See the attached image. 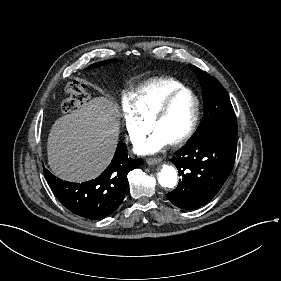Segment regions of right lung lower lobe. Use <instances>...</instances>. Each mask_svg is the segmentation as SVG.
<instances>
[{"instance_id":"obj_1","label":"right lung lower lobe","mask_w":281,"mask_h":281,"mask_svg":"<svg viewBox=\"0 0 281 281\" xmlns=\"http://www.w3.org/2000/svg\"><path fill=\"white\" fill-rule=\"evenodd\" d=\"M140 159L128 158L124 143H119L106 170L97 178L72 183L56 178L44 168L45 177L59 201L72 213L88 219L112 214L125 196L127 174L140 166Z\"/></svg>"}]
</instances>
